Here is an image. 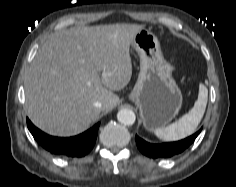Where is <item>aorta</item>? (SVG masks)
Masks as SVG:
<instances>
[{
    "instance_id": "1",
    "label": "aorta",
    "mask_w": 236,
    "mask_h": 187,
    "mask_svg": "<svg viewBox=\"0 0 236 187\" xmlns=\"http://www.w3.org/2000/svg\"><path fill=\"white\" fill-rule=\"evenodd\" d=\"M117 119L120 123L124 125H133L136 120V116L132 110L123 108L118 111Z\"/></svg>"
}]
</instances>
